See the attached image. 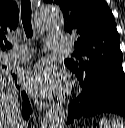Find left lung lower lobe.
<instances>
[{
	"label": "left lung lower lobe",
	"mask_w": 125,
	"mask_h": 128,
	"mask_svg": "<svg viewBox=\"0 0 125 128\" xmlns=\"http://www.w3.org/2000/svg\"><path fill=\"white\" fill-rule=\"evenodd\" d=\"M75 74L82 92L68 107L67 124L102 113H115L125 117V75H114L89 86Z\"/></svg>",
	"instance_id": "0a47b994"
}]
</instances>
